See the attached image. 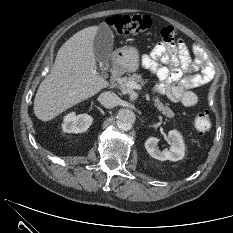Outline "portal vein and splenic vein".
<instances>
[{
  "label": "portal vein and splenic vein",
  "mask_w": 233,
  "mask_h": 233,
  "mask_svg": "<svg viewBox=\"0 0 233 233\" xmlns=\"http://www.w3.org/2000/svg\"><path fill=\"white\" fill-rule=\"evenodd\" d=\"M127 88H129V89H137V90L142 89L141 85H139L138 83H136L134 81L128 82L127 83Z\"/></svg>",
  "instance_id": "1"
}]
</instances>
